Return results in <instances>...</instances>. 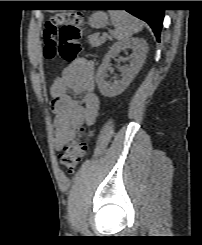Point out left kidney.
Returning a JSON list of instances; mask_svg holds the SVG:
<instances>
[{"mask_svg":"<svg viewBox=\"0 0 202 245\" xmlns=\"http://www.w3.org/2000/svg\"><path fill=\"white\" fill-rule=\"evenodd\" d=\"M132 49L130 64L128 67H121V79L114 82L106 81V73L109 61L121 51ZM148 52V45L144 39L131 38L116 42L105 55L101 66L98 68L96 82L101 94L105 97H114L121 94L132 82L141 69Z\"/></svg>","mask_w":202,"mask_h":245,"instance_id":"1","label":"left kidney"}]
</instances>
